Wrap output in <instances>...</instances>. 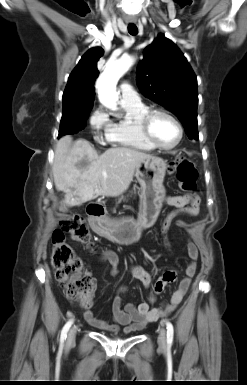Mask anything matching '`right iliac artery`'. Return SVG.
<instances>
[{"instance_id":"1","label":"right iliac artery","mask_w":247,"mask_h":385,"mask_svg":"<svg viewBox=\"0 0 247 385\" xmlns=\"http://www.w3.org/2000/svg\"><path fill=\"white\" fill-rule=\"evenodd\" d=\"M73 323V320H69L63 327L61 331V336H60V342L63 343L67 337V332L69 331L71 325Z\"/></svg>"}]
</instances>
